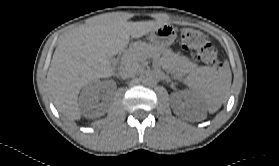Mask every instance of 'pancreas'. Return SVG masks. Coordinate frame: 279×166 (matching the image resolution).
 I'll return each mask as SVG.
<instances>
[{
	"label": "pancreas",
	"instance_id": "obj_1",
	"mask_svg": "<svg viewBox=\"0 0 279 166\" xmlns=\"http://www.w3.org/2000/svg\"><path fill=\"white\" fill-rule=\"evenodd\" d=\"M162 55L163 67L170 73L188 72L194 68V64L187 58L175 54L171 50H165L151 43L136 42L130 51L122 57V65L127 68L137 69L147 57H157Z\"/></svg>",
	"mask_w": 279,
	"mask_h": 166
}]
</instances>
